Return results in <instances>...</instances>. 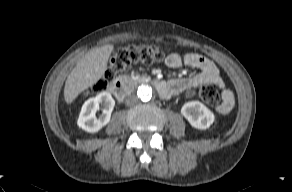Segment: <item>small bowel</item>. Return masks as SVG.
Returning <instances> with one entry per match:
<instances>
[{"mask_svg":"<svg viewBox=\"0 0 292 192\" xmlns=\"http://www.w3.org/2000/svg\"><path fill=\"white\" fill-rule=\"evenodd\" d=\"M165 63L173 69L186 65L198 70V73L195 75L169 80L170 93L165 98L201 85L216 84L222 89V104L217 108L218 112L226 114L231 110L233 95L225 87L219 69L213 61L196 53H187L183 56L178 53H171L166 57Z\"/></svg>","mask_w":292,"mask_h":192,"instance_id":"obj_1","label":"small bowel"}]
</instances>
